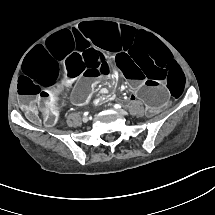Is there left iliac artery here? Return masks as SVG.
<instances>
[{"label": "left iliac artery", "mask_w": 215, "mask_h": 215, "mask_svg": "<svg viewBox=\"0 0 215 215\" xmlns=\"http://www.w3.org/2000/svg\"><path fill=\"white\" fill-rule=\"evenodd\" d=\"M114 107H115L116 109H120V108H121V105L115 104Z\"/></svg>", "instance_id": "44dca946"}]
</instances>
